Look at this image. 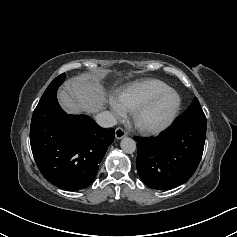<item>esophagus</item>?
Here are the masks:
<instances>
[{
	"label": "esophagus",
	"instance_id": "1",
	"mask_svg": "<svg viewBox=\"0 0 237 237\" xmlns=\"http://www.w3.org/2000/svg\"><path fill=\"white\" fill-rule=\"evenodd\" d=\"M126 135H127V133H126V131L123 128L118 127V128L115 129V137H116V139H122Z\"/></svg>",
	"mask_w": 237,
	"mask_h": 237
}]
</instances>
